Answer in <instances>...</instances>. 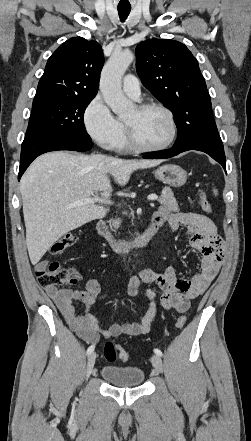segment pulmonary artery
I'll return each mask as SVG.
<instances>
[{"label": "pulmonary artery", "mask_w": 251, "mask_h": 441, "mask_svg": "<svg viewBox=\"0 0 251 441\" xmlns=\"http://www.w3.org/2000/svg\"><path fill=\"white\" fill-rule=\"evenodd\" d=\"M124 92L133 99L140 97V82L138 78L132 74L126 75L122 84Z\"/></svg>", "instance_id": "pulmonary-artery-1"}]
</instances>
